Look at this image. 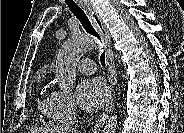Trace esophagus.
Masks as SVG:
<instances>
[{"label": "esophagus", "mask_w": 184, "mask_h": 133, "mask_svg": "<svg viewBox=\"0 0 184 133\" xmlns=\"http://www.w3.org/2000/svg\"><path fill=\"white\" fill-rule=\"evenodd\" d=\"M78 3L86 11V13L89 15L92 23L94 24V26L96 27V29L100 33L101 38H102V42L104 43L105 51H106V64L108 66L109 82H110V86H111V89H110L111 91H110V97H109V101L106 105V108L103 111V113L100 115V117L97 121V124L95 126V131H99V129L104 125V123H105V121H106V119L111 111V108L113 106V88H114V84L117 80L116 70H115V65H114V54L112 51L111 40H110V36H109L108 30H107V27L103 23L101 17L99 16V14H98L97 10L95 9V7L93 6L92 2L90 0H80V1H78Z\"/></svg>", "instance_id": "esophagus-1"}]
</instances>
